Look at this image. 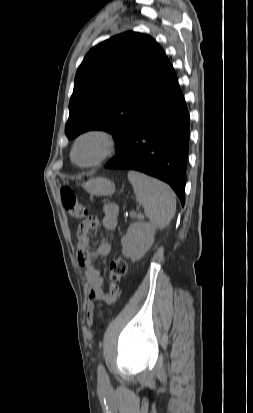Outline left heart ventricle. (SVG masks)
<instances>
[{
	"label": "left heart ventricle",
	"mask_w": 253,
	"mask_h": 413,
	"mask_svg": "<svg viewBox=\"0 0 253 413\" xmlns=\"http://www.w3.org/2000/svg\"><path fill=\"white\" fill-rule=\"evenodd\" d=\"M101 149V144L98 140L88 138L83 140L77 147L76 159L80 163H88L94 160Z\"/></svg>",
	"instance_id": "b2bd125f"
}]
</instances>
